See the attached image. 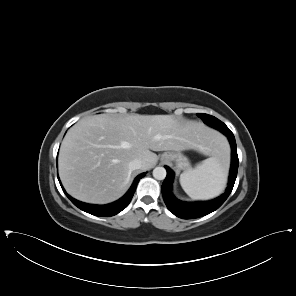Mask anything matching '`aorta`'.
<instances>
[{
	"label": "aorta",
	"mask_w": 296,
	"mask_h": 296,
	"mask_svg": "<svg viewBox=\"0 0 296 296\" xmlns=\"http://www.w3.org/2000/svg\"><path fill=\"white\" fill-rule=\"evenodd\" d=\"M166 169L164 167H156L153 170V177L157 180H163L166 177Z\"/></svg>",
	"instance_id": "obj_1"
}]
</instances>
